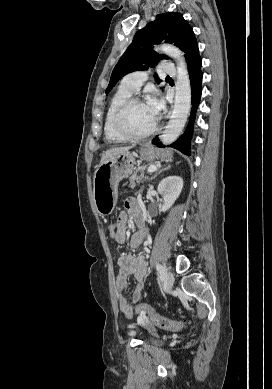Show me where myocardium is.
Wrapping results in <instances>:
<instances>
[{"mask_svg": "<svg viewBox=\"0 0 272 389\" xmlns=\"http://www.w3.org/2000/svg\"><path fill=\"white\" fill-rule=\"evenodd\" d=\"M142 103H144V101L141 98L137 96H131L119 107V109L115 114L114 117L115 129L122 137H124L127 140H143L153 135L157 130L158 124L156 120L153 126L148 131L141 134L133 133L128 129L126 118L129 110L135 104H142Z\"/></svg>", "mask_w": 272, "mask_h": 389, "instance_id": "myocardium-1", "label": "myocardium"}]
</instances>
